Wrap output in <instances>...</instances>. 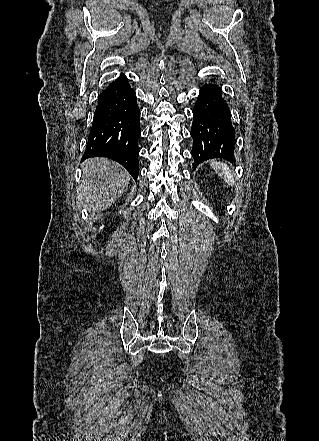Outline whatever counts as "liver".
Returning a JSON list of instances; mask_svg holds the SVG:
<instances>
[{"label": "liver", "instance_id": "1", "mask_svg": "<svg viewBox=\"0 0 319 441\" xmlns=\"http://www.w3.org/2000/svg\"><path fill=\"white\" fill-rule=\"evenodd\" d=\"M82 169L77 199L91 213L109 208L127 190L130 175L115 161L95 157L86 160Z\"/></svg>", "mask_w": 319, "mask_h": 441}]
</instances>
